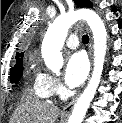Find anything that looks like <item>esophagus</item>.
Segmentation results:
<instances>
[{
	"mask_svg": "<svg viewBox=\"0 0 122 123\" xmlns=\"http://www.w3.org/2000/svg\"><path fill=\"white\" fill-rule=\"evenodd\" d=\"M92 53H93V41H92V37L90 36V43H89V57H90V61L92 64ZM90 78V75H89ZM78 99V96H76L75 98H73L62 110V115H69L72 112V109L76 103Z\"/></svg>",
	"mask_w": 122,
	"mask_h": 123,
	"instance_id": "esophagus-1",
	"label": "esophagus"
}]
</instances>
